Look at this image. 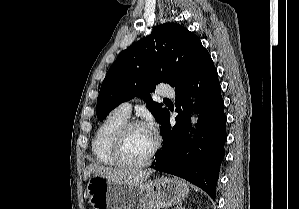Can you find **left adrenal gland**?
<instances>
[{
  "mask_svg": "<svg viewBox=\"0 0 299 209\" xmlns=\"http://www.w3.org/2000/svg\"><path fill=\"white\" fill-rule=\"evenodd\" d=\"M174 209H185L182 204L177 205Z\"/></svg>",
  "mask_w": 299,
  "mask_h": 209,
  "instance_id": "1",
  "label": "left adrenal gland"
}]
</instances>
